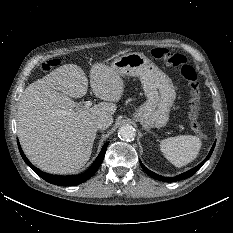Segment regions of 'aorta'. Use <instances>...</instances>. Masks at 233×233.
<instances>
[{
	"label": "aorta",
	"mask_w": 233,
	"mask_h": 233,
	"mask_svg": "<svg viewBox=\"0 0 233 233\" xmlns=\"http://www.w3.org/2000/svg\"><path fill=\"white\" fill-rule=\"evenodd\" d=\"M118 136L123 141L134 140L136 136L135 128L129 124L123 125L118 130Z\"/></svg>",
	"instance_id": "762f6f07"
}]
</instances>
